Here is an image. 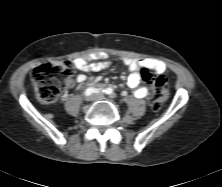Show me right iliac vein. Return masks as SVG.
<instances>
[{"instance_id":"1","label":"right iliac vein","mask_w":222,"mask_h":187,"mask_svg":"<svg viewBox=\"0 0 222 187\" xmlns=\"http://www.w3.org/2000/svg\"><path fill=\"white\" fill-rule=\"evenodd\" d=\"M93 100H95V95H90V96L86 97L87 102H91Z\"/></svg>"}]
</instances>
